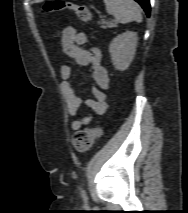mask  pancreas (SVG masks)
I'll use <instances>...</instances> for the list:
<instances>
[{"mask_svg": "<svg viewBox=\"0 0 188 213\" xmlns=\"http://www.w3.org/2000/svg\"><path fill=\"white\" fill-rule=\"evenodd\" d=\"M99 24H101V28L105 29V28H113L117 26V23L115 21L112 22H106V21H101L99 22Z\"/></svg>", "mask_w": 188, "mask_h": 213, "instance_id": "1", "label": "pancreas"}]
</instances>
